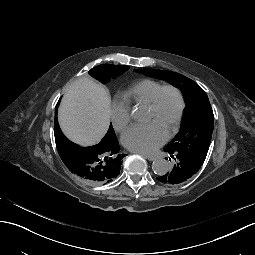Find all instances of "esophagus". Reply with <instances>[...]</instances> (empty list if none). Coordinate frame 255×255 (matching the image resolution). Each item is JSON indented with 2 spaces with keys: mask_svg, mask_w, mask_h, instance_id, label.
<instances>
[{
  "mask_svg": "<svg viewBox=\"0 0 255 255\" xmlns=\"http://www.w3.org/2000/svg\"><path fill=\"white\" fill-rule=\"evenodd\" d=\"M132 153L138 154V155H142V156H144L146 159H148V160H150V161H153V160H155V159L157 158V157L154 156V155H148V154H145V153L140 152V151H132Z\"/></svg>",
  "mask_w": 255,
  "mask_h": 255,
  "instance_id": "esophagus-1",
  "label": "esophagus"
}]
</instances>
